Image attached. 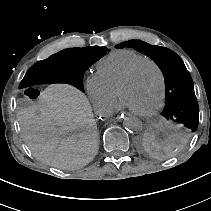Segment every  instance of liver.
<instances>
[{"label": "liver", "mask_w": 211, "mask_h": 211, "mask_svg": "<svg viewBox=\"0 0 211 211\" xmlns=\"http://www.w3.org/2000/svg\"><path fill=\"white\" fill-rule=\"evenodd\" d=\"M17 120L27 146L51 166L79 168L96 153L91 107L83 93L69 85L49 86L33 106L18 111Z\"/></svg>", "instance_id": "liver-1"}]
</instances>
